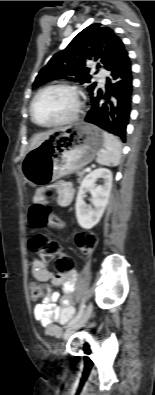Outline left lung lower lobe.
I'll use <instances>...</instances> for the list:
<instances>
[{"mask_svg":"<svg viewBox=\"0 0 155 395\" xmlns=\"http://www.w3.org/2000/svg\"><path fill=\"white\" fill-rule=\"evenodd\" d=\"M109 72L105 94L99 89L90 95L92 107L85 121L120 137L125 142L132 103V71L129 56L124 57ZM100 100H104V103H100Z\"/></svg>","mask_w":155,"mask_h":395,"instance_id":"0a47b994","label":"left lung lower lobe"}]
</instances>
